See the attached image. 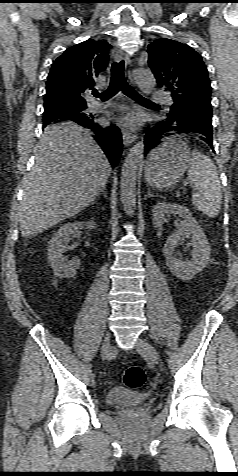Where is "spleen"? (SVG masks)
<instances>
[{"label":"spleen","instance_id":"obj_1","mask_svg":"<svg viewBox=\"0 0 238 476\" xmlns=\"http://www.w3.org/2000/svg\"><path fill=\"white\" fill-rule=\"evenodd\" d=\"M187 176L196 189L192 194L193 205L208 217H216L221 208L222 192L212 160L202 152L193 150Z\"/></svg>","mask_w":238,"mask_h":476}]
</instances>
